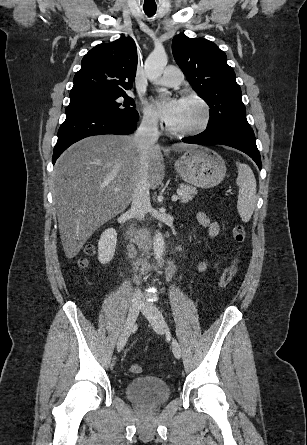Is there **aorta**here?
Segmentation results:
<instances>
[{"label": "aorta", "mask_w": 307, "mask_h": 445, "mask_svg": "<svg viewBox=\"0 0 307 445\" xmlns=\"http://www.w3.org/2000/svg\"><path fill=\"white\" fill-rule=\"evenodd\" d=\"M167 62L168 56L164 46H159V48H155V50H152V52H150L149 56H147L145 60L144 68L151 82H154V80H158V78L162 76ZM160 90L162 94H167V92H169L167 88H160ZM164 247V237L162 233H160V231H156V235L153 239V251L156 261H160V259H162Z\"/></svg>", "instance_id": "obj_1"}]
</instances>
